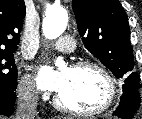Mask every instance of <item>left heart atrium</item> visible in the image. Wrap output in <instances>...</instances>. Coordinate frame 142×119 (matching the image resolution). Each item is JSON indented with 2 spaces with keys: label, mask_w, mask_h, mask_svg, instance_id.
<instances>
[{
  "label": "left heart atrium",
  "mask_w": 142,
  "mask_h": 119,
  "mask_svg": "<svg viewBox=\"0 0 142 119\" xmlns=\"http://www.w3.org/2000/svg\"><path fill=\"white\" fill-rule=\"evenodd\" d=\"M66 82L65 72H57L49 67H43L39 70L37 83L41 89L61 92Z\"/></svg>",
  "instance_id": "left-heart-atrium-1"
}]
</instances>
